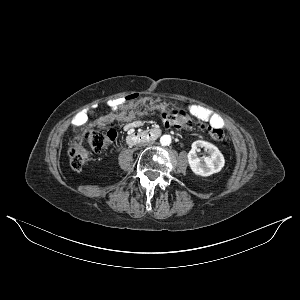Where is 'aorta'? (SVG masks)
<instances>
[{
    "label": "aorta",
    "instance_id": "1",
    "mask_svg": "<svg viewBox=\"0 0 300 300\" xmlns=\"http://www.w3.org/2000/svg\"><path fill=\"white\" fill-rule=\"evenodd\" d=\"M160 143L162 146H169L171 144V136L170 135H163L160 138Z\"/></svg>",
    "mask_w": 300,
    "mask_h": 300
}]
</instances>
